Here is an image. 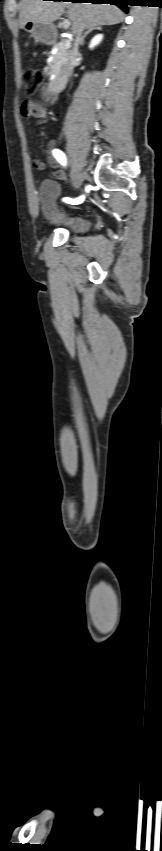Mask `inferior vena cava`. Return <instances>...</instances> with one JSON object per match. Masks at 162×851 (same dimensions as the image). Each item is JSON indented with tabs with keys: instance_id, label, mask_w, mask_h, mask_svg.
I'll list each match as a JSON object with an SVG mask.
<instances>
[{
	"instance_id": "1",
	"label": "inferior vena cava",
	"mask_w": 162,
	"mask_h": 851,
	"mask_svg": "<svg viewBox=\"0 0 162 851\" xmlns=\"http://www.w3.org/2000/svg\"><path fill=\"white\" fill-rule=\"evenodd\" d=\"M82 32H83V26L82 25H80L77 29L74 30L75 43H74L72 53L70 55V62H69L68 69H67V76L68 77H70V75H71L72 67H73L75 59L77 57V54H78V47L81 43Z\"/></svg>"
}]
</instances>
